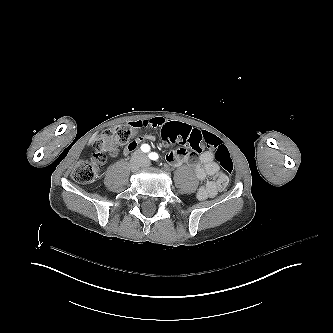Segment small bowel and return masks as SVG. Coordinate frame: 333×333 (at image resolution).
<instances>
[{
  "mask_svg": "<svg viewBox=\"0 0 333 333\" xmlns=\"http://www.w3.org/2000/svg\"><path fill=\"white\" fill-rule=\"evenodd\" d=\"M132 125L135 128H155L160 130L183 131L187 129L181 123L171 121L163 117H152L134 121ZM189 130V129H188ZM192 131V130H189ZM144 140L153 141L152 135H143L136 138L135 143H130L123 148V154L129 156L138 146V143ZM164 147L169 145L167 140L162 142ZM165 160L172 165H182L189 161V153L184 148L170 150ZM195 176L199 181H204L207 177L211 180L206 181L197 191V198L199 200H206L215 197L218 192L223 190L227 185V176L225 172L214 161L212 151H205L199 156V161L195 165Z\"/></svg>",
  "mask_w": 333,
  "mask_h": 333,
  "instance_id": "1",
  "label": "small bowel"
}]
</instances>
